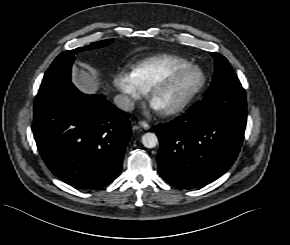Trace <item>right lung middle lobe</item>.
Wrapping results in <instances>:
<instances>
[{
    "instance_id": "right-lung-middle-lobe-1",
    "label": "right lung middle lobe",
    "mask_w": 290,
    "mask_h": 245,
    "mask_svg": "<svg viewBox=\"0 0 290 245\" xmlns=\"http://www.w3.org/2000/svg\"><path fill=\"white\" fill-rule=\"evenodd\" d=\"M112 42L113 39L98 41L90 44L89 46L79 47L72 50L71 52L64 51L59 54L45 73L38 93L51 91L59 86L71 83L70 73L72 63L74 61V53L95 48H101L109 45Z\"/></svg>"
}]
</instances>
